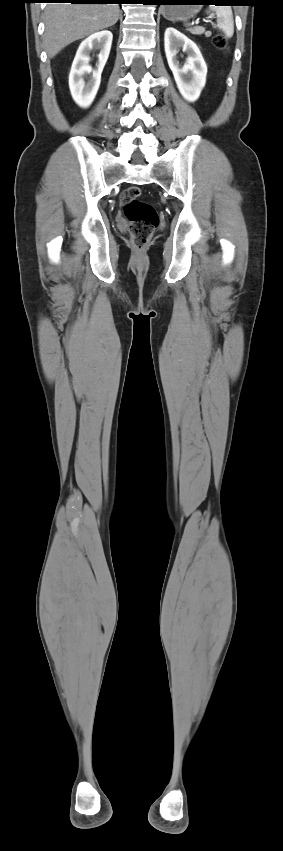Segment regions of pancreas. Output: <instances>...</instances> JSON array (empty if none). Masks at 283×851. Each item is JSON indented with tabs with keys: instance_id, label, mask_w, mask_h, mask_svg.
Segmentation results:
<instances>
[{
	"instance_id": "1",
	"label": "pancreas",
	"mask_w": 283,
	"mask_h": 851,
	"mask_svg": "<svg viewBox=\"0 0 283 851\" xmlns=\"http://www.w3.org/2000/svg\"><path fill=\"white\" fill-rule=\"evenodd\" d=\"M190 31H191L192 34L199 35V34L204 33L205 29L203 27H196V28H194Z\"/></svg>"
}]
</instances>
